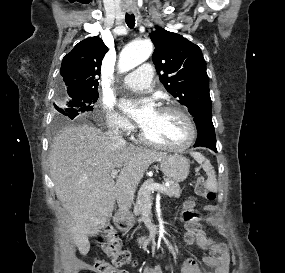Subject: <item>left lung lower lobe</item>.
Masks as SVG:
<instances>
[{"label": "left lung lower lobe", "instance_id": "left-lung-lower-lobe-1", "mask_svg": "<svg viewBox=\"0 0 285 273\" xmlns=\"http://www.w3.org/2000/svg\"><path fill=\"white\" fill-rule=\"evenodd\" d=\"M198 130V137L195 143V147H206L212 150H216V136L212 123V115L203 116L194 120Z\"/></svg>", "mask_w": 285, "mask_h": 273}]
</instances>
